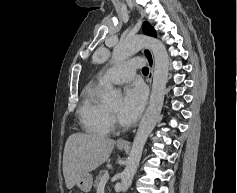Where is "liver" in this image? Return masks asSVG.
Listing matches in <instances>:
<instances>
[{"instance_id":"obj_1","label":"liver","mask_w":237,"mask_h":193,"mask_svg":"<svg viewBox=\"0 0 237 193\" xmlns=\"http://www.w3.org/2000/svg\"><path fill=\"white\" fill-rule=\"evenodd\" d=\"M114 145L113 139L97 134L70 135L63 153V175L67 189H72L86 173L105 163Z\"/></svg>"}]
</instances>
